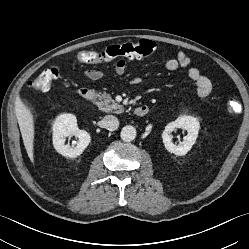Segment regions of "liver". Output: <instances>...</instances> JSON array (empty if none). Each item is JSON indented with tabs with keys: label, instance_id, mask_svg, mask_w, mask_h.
Returning a JSON list of instances; mask_svg holds the SVG:
<instances>
[{
	"label": "liver",
	"instance_id": "liver-1",
	"mask_svg": "<svg viewBox=\"0 0 249 249\" xmlns=\"http://www.w3.org/2000/svg\"><path fill=\"white\" fill-rule=\"evenodd\" d=\"M15 112L18 119L23 143L30 158L34 162V118L31 110L20 100L17 99Z\"/></svg>",
	"mask_w": 249,
	"mask_h": 249
}]
</instances>
